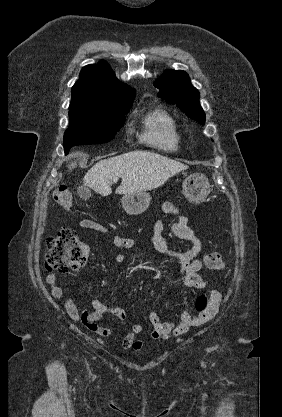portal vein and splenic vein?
Returning a JSON list of instances; mask_svg holds the SVG:
<instances>
[{
    "instance_id": "18ae733b",
    "label": "portal vein and splenic vein",
    "mask_w": 282,
    "mask_h": 417,
    "mask_svg": "<svg viewBox=\"0 0 282 417\" xmlns=\"http://www.w3.org/2000/svg\"><path fill=\"white\" fill-rule=\"evenodd\" d=\"M118 178H114L113 182H117Z\"/></svg>"
}]
</instances>
